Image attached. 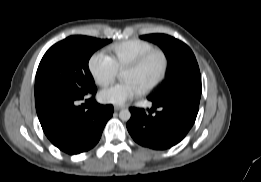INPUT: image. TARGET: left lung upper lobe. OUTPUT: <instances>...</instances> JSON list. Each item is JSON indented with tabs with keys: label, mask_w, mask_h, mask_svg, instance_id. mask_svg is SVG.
Returning <instances> with one entry per match:
<instances>
[{
	"label": "left lung upper lobe",
	"mask_w": 261,
	"mask_h": 182,
	"mask_svg": "<svg viewBox=\"0 0 261 182\" xmlns=\"http://www.w3.org/2000/svg\"><path fill=\"white\" fill-rule=\"evenodd\" d=\"M162 48L168 58L167 75L157 91L149 97L164 103L187 94L201 95V76L192 50L183 42L165 34L141 36Z\"/></svg>",
	"instance_id": "5c2ea615"
}]
</instances>
